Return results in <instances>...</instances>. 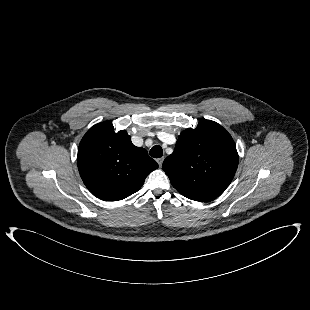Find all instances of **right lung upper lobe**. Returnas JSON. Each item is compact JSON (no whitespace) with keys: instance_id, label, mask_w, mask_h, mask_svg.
<instances>
[{"instance_id":"obj_1","label":"right lung upper lobe","mask_w":310,"mask_h":310,"mask_svg":"<svg viewBox=\"0 0 310 310\" xmlns=\"http://www.w3.org/2000/svg\"><path fill=\"white\" fill-rule=\"evenodd\" d=\"M80 176L97 198L122 200L137 192L158 164L144 148L132 144L125 130L118 133L110 121L91 127L77 155Z\"/></svg>"}]
</instances>
